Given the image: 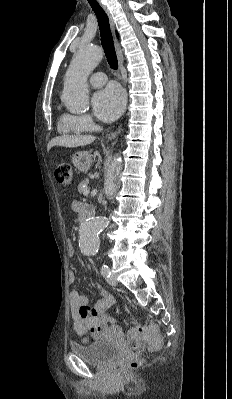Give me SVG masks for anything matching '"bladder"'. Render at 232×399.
Segmentation results:
<instances>
[{
  "instance_id": "obj_1",
  "label": "bladder",
  "mask_w": 232,
  "mask_h": 399,
  "mask_svg": "<svg viewBox=\"0 0 232 399\" xmlns=\"http://www.w3.org/2000/svg\"><path fill=\"white\" fill-rule=\"evenodd\" d=\"M70 350L72 353L95 365L106 364L121 353V348L118 345L105 340L95 341L87 345L72 342Z\"/></svg>"
}]
</instances>
